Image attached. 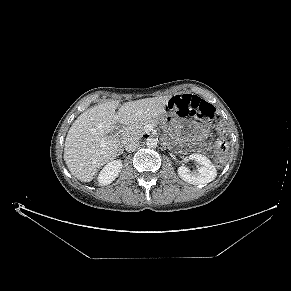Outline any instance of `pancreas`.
Segmentation results:
<instances>
[{"mask_svg": "<svg viewBox=\"0 0 291 291\" xmlns=\"http://www.w3.org/2000/svg\"><path fill=\"white\" fill-rule=\"evenodd\" d=\"M156 123L155 120H150L130 125L124 129V136L126 139L140 138L144 133H146L145 126L147 124L156 125Z\"/></svg>", "mask_w": 291, "mask_h": 291, "instance_id": "obj_1", "label": "pancreas"}]
</instances>
